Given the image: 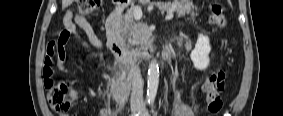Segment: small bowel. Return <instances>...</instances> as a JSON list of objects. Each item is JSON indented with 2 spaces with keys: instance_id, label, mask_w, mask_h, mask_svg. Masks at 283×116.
<instances>
[{
  "instance_id": "obj_1",
  "label": "small bowel",
  "mask_w": 283,
  "mask_h": 116,
  "mask_svg": "<svg viewBox=\"0 0 283 116\" xmlns=\"http://www.w3.org/2000/svg\"><path fill=\"white\" fill-rule=\"evenodd\" d=\"M63 25L65 28L63 32H66L68 37L65 40L61 34L58 42L48 44L47 54L44 61V75L52 77L54 68L57 67L58 70L69 75L72 80L75 81L74 72L66 65L65 43L69 36H73L85 49L102 48V43L95 35L86 18L83 16L73 14L72 11L68 10L64 16ZM78 28L85 31L89 42L81 39L78 33ZM109 114L110 109L107 105H104L99 111V116H108Z\"/></svg>"
}]
</instances>
